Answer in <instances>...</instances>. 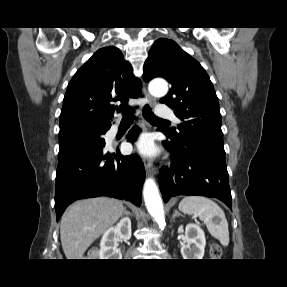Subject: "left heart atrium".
Listing matches in <instances>:
<instances>
[{"mask_svg":"<svg viewBox=\"0 0 287 287\" xmlns=\"http://www.w3.org/2000/svg\"><path fill=\"white\" fill-rule=\"evenodd\" d=\"M136 148L142 155H153L156 153V147L149 135H142L136 142Z\"/></svg>","mask_w":287,"mask_h":287,"instance_id":"1","label":"left heart atrium"}]
</instances>
